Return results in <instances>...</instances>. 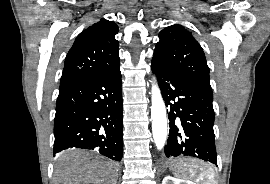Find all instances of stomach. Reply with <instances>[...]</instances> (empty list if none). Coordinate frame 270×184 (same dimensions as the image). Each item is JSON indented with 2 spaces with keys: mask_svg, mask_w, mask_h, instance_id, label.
Instances as JSON below:
<instances>
[{
  "mask_svg": "<svg viewBox=\"0 0 270 184\" xmlns=\"http://www.w3.org/2000/svg\"><path fill=\"white\" fill-rule=\"evenodd\" d=\"M187 163L184 160H176L173 161L170 165L171 171L174 173L176 176H181L185 169L187 168Z\"/></svg>",
  "mask_w": 270,
  "mask_h": 184,
  "instance_id": "0dacf381",
  "label": "stomach"
}]
</instances>
